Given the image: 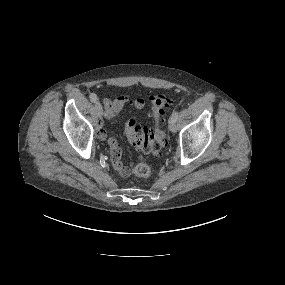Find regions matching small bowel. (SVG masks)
<instances>
[{
  "label": "small bowel",
  "mask_w": 285,
  "mask_h": 285,
  "mask_svg": "<svg viewBox=\"0 0 285 285\" xmlns=\"http://www.w3.org/2000/svg\"><path fill=\"white\" fill-rule=\"evenodd\" d=\"M105 107L104 117L108 120L114 119L118 116L119 112L126 105H130L136 109H142L145 106V100L143 98H132L128 94H122L115 99L104 98L102 100ZM96 135L101 140H107L111 148V163L114 170L126 177L130 174V169L125 166L121 160L122 150L113 137H107L106 131L99 126L96 131Z\"/></svg>",
  "instance_id": "obj_1"
}]
</instances>
